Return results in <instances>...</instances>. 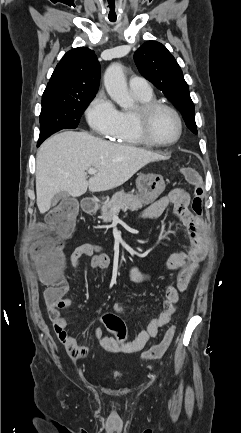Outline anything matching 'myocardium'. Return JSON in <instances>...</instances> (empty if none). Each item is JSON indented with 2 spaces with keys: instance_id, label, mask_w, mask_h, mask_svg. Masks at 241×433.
Instances as JSON below:
<instances>
[{
  "instance_id": "obj_1",
  "label": "myocardium",
  "mask_w": 241,
  "mask_h": 433,
  "mask_svg": "<svg viewBox=\"0 0 241 433\" xmlns=\"http://www.w3.org/2000/svg\"><path fill=\"white\" fill-rule=\"evenodd\" d=\"M161 109L169 111L177 121L178 133L175 139H173L170 142H160L156 140L155 138H153L150 131L151 120L154 114ZM133 116H134L136 129L139 135L141 136L143 141L148 145L157 146V147H169L175 145L182 137L183 122L181 116L178 113V111L169 104L159 102V101H154V100L147 103H141L135 108L133 112Z\"/></svg>"
}]
</instances>
